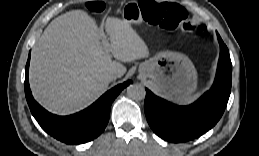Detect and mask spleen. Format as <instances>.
Masks as SVG:
<instances>
[{"instance_id": "3e777b00", "label": "spleen", "mask_w": 259, "mask_h": 156, "mask_svg": "<svg viewBox=\"0 0 259 156\" xmlns=\"http://www.w3.org/2000/svg\"><path fill=\"white\" fill-rule=\"evenodd\" d=\"M202 93H203V91L198 92V93H196L192 96L185 97V98L177 101V104H179V105H189V104L193 103L194 101H196L201 96Z\"/></svg>"}]
</instances>
